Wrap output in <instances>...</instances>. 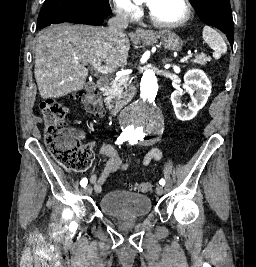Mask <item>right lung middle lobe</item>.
<instances>
[{
	"label": "right lung middle lobe",
	"instance_id": "right-lung-middle-lobe-1",
	"mask_svg": "<svg viewBox=\"0 0 256 267\" xmlns=\"http://www.w3.org/2000/svg\"><path fill=\"white\" fill-rule=\"evenodd\" d=\"M84 13L106 17L112 12L108 0H45L38 23L56 16H77Z\"/></svg>",
	"mask_w": 256,
	"mask_h": 267
}]
</instances>
